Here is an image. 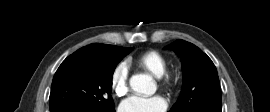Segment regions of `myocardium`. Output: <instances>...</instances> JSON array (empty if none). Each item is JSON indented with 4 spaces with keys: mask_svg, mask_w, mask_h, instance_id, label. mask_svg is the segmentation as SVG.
I'll list each match as a JSON object with an SVG mask.
<instances>
[{
    "mask_svg": "<svg viewBox=\"0 0 270 112\" xmlns=\"http://www.w3.org/2000/svg\"><path fill=\"white\" fill-rule=\"evenodd\" d=\"M160 89L168 95L174 94L180 88L182 83V71L179 67L166 69V71L157 78Z\"/></svg>",
    "mask_w": 270,
    "mask_h": 112,
    "instance_id": "f54148a6",
    "label": "myocardium"
}]
</instances>
